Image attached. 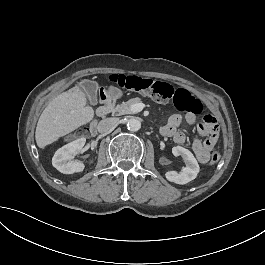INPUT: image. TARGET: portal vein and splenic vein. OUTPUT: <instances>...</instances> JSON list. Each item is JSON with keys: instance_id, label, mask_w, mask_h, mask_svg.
Listing matches in <instances>:
<instances>
[{"instance_id": "1", "label": "portal vein and splenic vein", "mask_w": 265, "mask_h": 265, "mask_svg": "<svg viewBox=\"0 0 265 265\" xmlns=\"http://www.w3.org/2000/svg\"><path fill=\"white\" fill-rule=\"evenodd\" d=\"M144 108H146L145 103H137V104L131 105V107H130V109L133 113H138V112L142 111Z\"/></svg>"}]
</instances>
